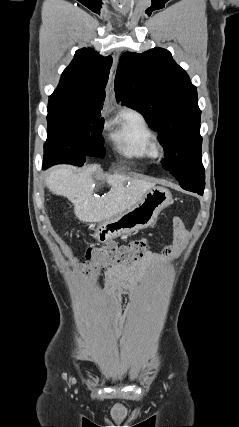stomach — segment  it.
I'll return each mask as SVG.
<instances>
[{"label":"stomach","mask_w":239,"mask_h":427,"mask_svg":"<svg viewBox=\"0 0 239 427\" xmlns=\"http://www.w3.org/2000/svg\"><path fill=\"white\" fill-rule=\"evenodd\" d=\"M171 192L164 187H153L130 209L102 221L94 230V238L105 243L124 234L136 232L153 224L159 213L170 204Z\"/></svg>","instance_id":"obj_1"}]
</instances>
